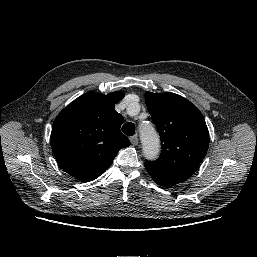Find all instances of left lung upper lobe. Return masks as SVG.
Listing matches in <instances>:
<instances>
[{
    "label": "left lung upper lobe",
    "mask_w": 257,
    "mask_h": 257,
    "mask_svg": "<svg viewBox=\"0 0 257 257\" xmlns=\"http://www.w3.org/2000/svg\"><path fill=\"white\" fill-rule=\"evenodd\" d=\"M145 101L162 143L160 157L145 163L188 179L209 146V132L202 113L190 101L174 93L147 92Z\"/></svg>",
    "instance_id": "obj_1"
}]
</instances>
